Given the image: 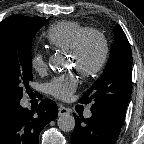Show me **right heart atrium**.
Instances as JSON below:
<instances>
[{
  "label": "right heart atrium",
  "instance_id": "1",
  "mask_svg": "<svg viewBox=\"0 0 144 144\" xmlns=\"http://www.w3.org/2000/svg\"><path fill=\"white\" fill-rule=\"evenodd\" d=\"M31 67L36 72H44L47 68L46 58L43 53L35 52L30 60Z\"/></svg>",
  "mask_w": 144,
  "mask_h": 144
}]
</instances>
